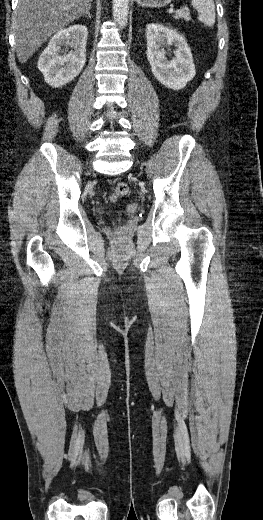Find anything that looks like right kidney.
I'll return each mask as SVG.
<instances>
[{"label":"right kidney","instance_id":"right-kidney-1","mask_svg":"<svg viewBox=\"0 0 263 520\" xmlns=\"http://www.w3.org/2000/svg\"><path fill=\"white\" fill-rule=\"evenodd\" d=\"M87 37V27L77 24L60 30L51 38L38 60V69L46 83L58 88L79 75L86 61ZM62 46H70L73 50L61 55Z\"/></svg>","mask_w":263,"mask_h":520}]
</instances>
